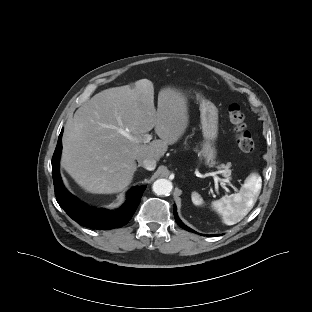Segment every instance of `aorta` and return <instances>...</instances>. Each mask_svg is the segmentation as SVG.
Returning a JSON list of instances; mask_svg holds the SVG:
<instances>
[{
    "instance_id": "aorta-1",
    "label": "aorta",
    "mask_w": 312,
    "mask_h": 312,
    "mask_svg": "<svg viewBox=\"0 0 312 312\" xmlns=\"http://www.w3.org/2000/svg\"><path fill=\"white\" fill-rule=\"evenodd\" d=\"M172 183L167 179H158L153 183L152 189L156 195H167L172 191Z\"/></svg>"
}]
</instances>
